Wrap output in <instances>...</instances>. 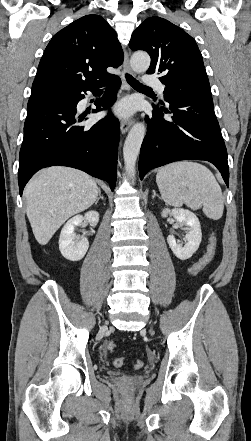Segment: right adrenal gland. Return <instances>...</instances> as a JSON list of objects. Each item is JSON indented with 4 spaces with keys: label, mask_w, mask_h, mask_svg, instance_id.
Here are the masks:
<instances>
[{
    "label": "right adrenal gland",
    "mask_w": 251,
    "mask_h": 441,
    "mask_svg": "<svg viewBox=\"0 0 251 441\" xmlns=\"http://www.w3.org/2000/svg\"><path fill=\"white\" fill-rule=\"evenodd\" d=\"M102 199L104 200V197L101 195V190L99 189V196L97 197L96 201H95V205L98 203V201Z\"/></svg>",
    "instance_id": "2a0ac1e0"
}]
</instances>
